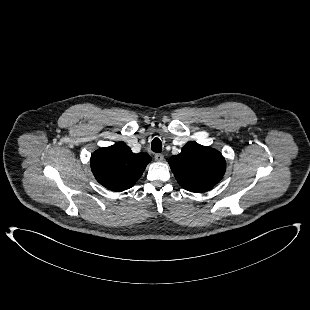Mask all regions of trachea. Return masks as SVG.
I'll return each mask as SVG.
<instances>
[{
	"mask_svg": "<svg viewBox=\"0 0 310 310\" xmlns=\"http://www.w3.org/2000/svg\"><path fill=\"white\" fill-rule=\"evenodd\" d=\"M151 149L153 152L160 153L162 151V142L159 138H154L151 143Z\"/></svg>",
	"mask_w": 310,
	"mask_h": 310,
	"instance_id": "trachea-1",
	"label": "trachea"
}]
</instances>
